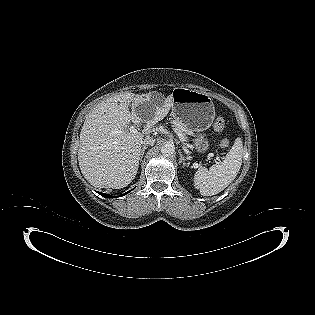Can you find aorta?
<instances>
[{
  "instance_id": "aorta-1",
  "label": "aorta",
  "mask_w": 315,
  "mask_h": 315,
  "mask_svg": "<svg viewBox=\"0 0 315 315\" xmlns=\"http://www.w3.org/2000/svg\"><path fill=\"white\" fill-rule=\"evenodd\" d=\"M175 147L172 143H167L161 147V153L165 156H170L174 153Z\"/></svg>"
}]
</instances>
